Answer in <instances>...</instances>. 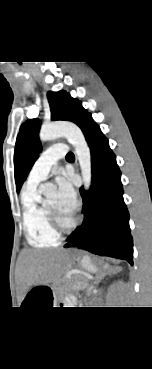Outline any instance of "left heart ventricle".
I'll use <instances>...</instances> for the list:
<instances>
[{"label":"left heart ventricle","mask_w":152,"mask_h":369,"mask_svg":"<svg viewBox=\"0 0 152 369\" xmlns=\"http://www.w3.org/2000/svg\"><path fill=\"white\" fill-rule=\"evenodd\" d=\"M47 205L53 209L63 224H69L72 220V215L65 214L59 205L58 196L54 195L46 201Z\"/></svg>","instance_id":"1"}]
</instances>
